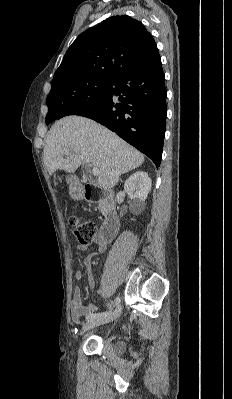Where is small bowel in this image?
Instances as JSON below:
<instances>
[{
    "instance_id": "1",
    "label": "small bowel",
    "mask_w": 232,
    "mask_h": 399,
    "mask_svg": "<svg viewBox=\"0 0 232 399\" xmlns=\"http://www.w3.org/2000/svg\"><path fill=\"white\" fill-rule=\"evenodd\" d=\"M88 246H89V244L87 242L79 243L80 250H86L88 248ZM96 246H97L98 252L101 253L105 249L108 248L109 243L108 242H98L96 244ZM97 255L98 254H96V253L90 254L88 256V260L94 259L95 257H97ZM78 267L79 268L77 271V276L79 278H82L84 276V268H85L84 262L80 261L78 264ZM87 277H88V285H89V287H91L92 283H93V275H92L91 271L89 270V268H88ZM96 309L97 308L92 304L82 303V297H81L80 291H79V289H75L73 296L70 300V307H69L70 323L74 326V328H76L78 330H84L86 326H85V324H83L81 322L80 317L84 314H88L92 311H95ZM106 309L109 312H112L115 314L119 313L121 310L119 306H108ZM88 327L98 333H103V332L110 330L109 326L94 323V322L89 323ZM139 327H140V324L138 322H133V321L121 322V323L117 324V328L125 329V330H135Z\"/></svg>"
}]
</instances>
